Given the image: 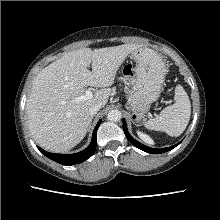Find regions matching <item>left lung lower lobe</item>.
Listing matches in <instances>:
<instances>
[{
  "mask_svg": "<svg viewBox=\"0 0 220 220\" xmlns=\"http://www.w3.org/2000/svg\"><path fill=\"white\" fill-rule=\"evenodd\" d=\"M123 130H124V133H125L127 139L134 146H136L137 148H139V149H141V150H143L145 152L151 153V154H159V153H164V152L170 151V150H172L173 148H175L176 146H178L181 143V142H179L178 144H176L174 146H171V147H167V148L154 149V148H150L148 146H145V145L141 144L140 142H138L137 140H135L134 138H132L131 135L128 132L125 120H123Z\"/></svg>",
  "mask_w": 220,
  "mask_h": 220,
  "instance_id": "1",
  "label": "left lung lower lobe"
}]
</instances>
